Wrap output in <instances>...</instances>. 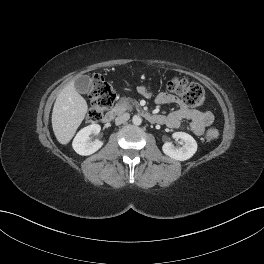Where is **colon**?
<instances>
[{
	"label": "colon",
	"instance_id": "colon-1",
	"mask_svg": "<svg viewBox=\"0 0 264 264\" xmlns=\"http://www.w3.org/2000/svg\"><path fill=\"white\" fill-rule=\"evenodd\" d=\"M167 89L179 95L184 104L199 106L204 101V90L201 85L180 77H172L166 84ZM90 107L87 114L89 122L99 121L104 112L115 102L116 94L110 83L102 76L95 75L91 79L89 91ZM219 136V130L210 127L205 134L207 141H213Z\"/></svg>",
	"mask_w": 264,
	"mask_h": 264
}]
</instances>
